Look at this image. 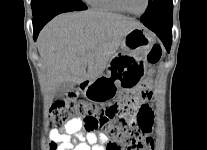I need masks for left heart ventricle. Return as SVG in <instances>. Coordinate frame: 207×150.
<instances>
[{
    "mask_svg": "<svg viewBox=\"0 0 207 150\" xmlns=\"http://www.w3.org/2000/svg\"><path fill=\"white\" fill-rule=\"evenodd\" d=\"M127 6L133 12H141L146 4V0H126Z\"/></svg>",
    "mask_w": 207,
    "mask_h": 150,
    "instance_id": "obj_1",
    "label": "left heart ventricle"
}]
</instances>
